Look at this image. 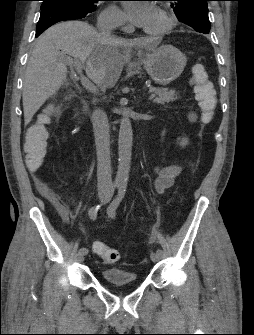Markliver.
I'll return each instance as SVG.
<instances>
[{"label": "liver", "instance_id": "liver-1", "mask_svg": "<svg viewBox=\"0 0 254 335\" xmlns=\"http://www.w3.org/2000/svg\"><path fill=\"white\" fill-rule=\"evenodd\" d=\"M138 46L153 50L151 39L104 36L88 23L67 21L55 24L36 40L23 83L24 121L28 124L45 101L67 81L69 56L85 64L86 75L102 90L120 78L129 54L119 48Z\"/></svg>", "mask_w": 254, "mask_h": 335}]
</instances>
